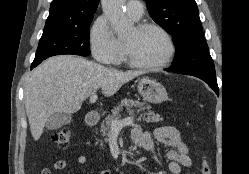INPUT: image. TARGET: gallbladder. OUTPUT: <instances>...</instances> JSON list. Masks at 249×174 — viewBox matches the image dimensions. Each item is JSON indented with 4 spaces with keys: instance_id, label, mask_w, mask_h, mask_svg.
<instances>
[{
    "instance_id": "gallbladder-1",
    "label": "gallbladder",
    "mask_w": 249,
    "mask_h": 174,
    "mask_svg": "<svg viewBox=\"0 0 249 174\" xmlns=\"http://www.w3.org/2000/svg\"><path fill=\"white\" fill-rule=\"evenodd\" d=\"M71 114L68 113H54L46 121L45 127L48 130H56L61 128L64 125H67L71 122Z\"/></svg>"
}]
</instances>
